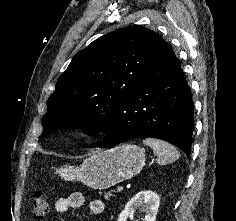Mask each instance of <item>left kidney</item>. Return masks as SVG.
I'll use <instances>...</instances> for the list:
<instances>
[{
    "mask_svg": "<svg viewBox=\"0 0 236 221\" xmlns=\"http://www.w3.org/2000/svg\"><path fill=\"white\" fill-rule=\"evenodd\" d=\"M160 204V197L153 191H141L137 193L125 206L120 213L118 221H126L128 216L136 210V208L143 206L145 210V217L143 221H155Z\"/></svg>",
    "mask_w": 236,
    "mask_h": 221,
    "instance_id": "left-kidney-1",
    "label": "left kidney"
}]
</instances>
